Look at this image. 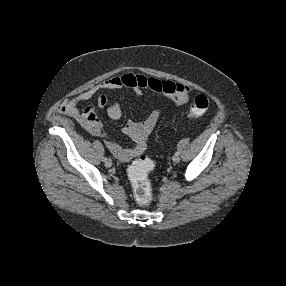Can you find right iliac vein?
I'll use <instances>...</instances> for the list:
<instances>
[{
	"label": "right iliac vein",
	"mask_w": 286,
	"mask_h": 286,
	"mask_svg": "<svg viewBox=\"0 0 286 286\" xmlns=\"http://www.w3.org/2000/svg\"><path fill=\"white\" fill-rule=\"evenodd\" d=\"M105 166L107 168L111 167L112 166V160L108 159L106 162H105Z\"/></svg>",
	"instance_id": "1"
}]
</instances>
